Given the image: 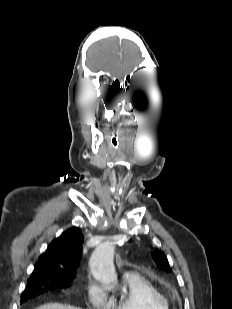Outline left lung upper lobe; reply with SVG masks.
I'll list each match as a JSON object with an SVG mask.
<instances>
[{
  "mask_svg": "<svg viewBox=\"0 0 232 309\" xmlns=\"http://www.w3.org/2000/svg\"><path fill=\"white\" fill-rule=\"evenodd\" d=\"M153 258L155 260L156 265L159 268H161V269H163L167 272L171 271L168 260H167L166 256L164 255V253L162 251L155 250L153 252Z\"/></svg>",
  "mask_w": 232,
  "mask_h": 309,
  "instance_id": "obj_1",
  "label": "left lung upper lobe"
}]
</instances>
